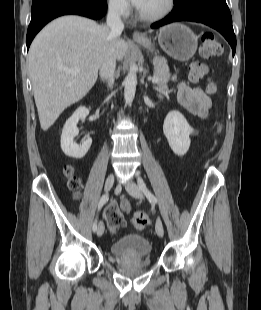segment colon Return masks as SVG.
<instances>
[{
	"mask_svg": "<svg viewBox=\"0 0 261 310\" xmlns=\"http://www.w3.org/2000/svg\"><path fill=\"white\" fill-rule=\"evenodd\" d=\"M222 47L217 41L212 33L205 32L201 37L200 54L205 58H210L218 56L221 54ZM207 72L206 66L201 62H195L190 67L189 78L193 82L199 81ZM207 91L210 94H215L217 92L216 84L210 81L207 85ZM64 174L67 178L68 188L77 194L80 187V180L74 174V169L72 166H67L64 169ZM105 218L108 225L115 229L119 227H127V220H123L121 209H119L118 200H110L109 204H106ZM150 220L146 213L136 212L132 217V224L137 229H143L149 225Z\"/></svg>",
	"mask_w": 261,
	"mask_h": 310,
	"instance_id": "1",
	"label": "colon"
}]
</instances>
